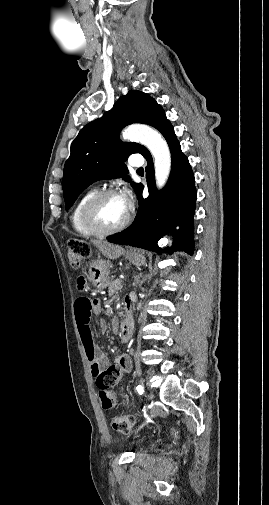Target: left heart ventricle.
Returning a JSON list of instances; mask_svg holds the SVG:
<instances>
[{"label":"left heart ventricle","instance_id":"left-heart-ventricle-1","mask_svg":"<svg viewBox=\"0 0 269 505\" xmlns=\"http://www.w3.org/2000/svg\"><path fill=\"white\" fill-rule=\"evenodd\" d=\"M128 210L123 206L118 195L103 199L95 210V217L104 227H114L126 217Z\"/></svg>","mask_w":269,"mask_h":505}]
</instances>
